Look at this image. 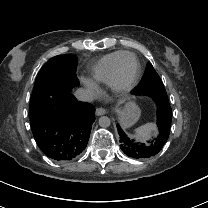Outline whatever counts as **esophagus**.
<instances>
[{"label": "esophagus", "instance_id": "1", "mask_svg": "<svg viewBox=\"0 0 208 208\" xmlns=\"http://www.w3.org/2000/svg\"><path fill=\"white\" fill-rule=\"evenodd\" d=\"M107 113V110L104 108H97L96 109V115L100 116V115H105Z\"/></svg>", "mask_w": 208, "mask_h": 208}]
</instances>
